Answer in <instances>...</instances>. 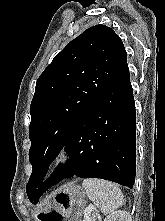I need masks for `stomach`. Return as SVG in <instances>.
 Here are the masks:
<instances>
[{
	"label": "stomach",
	"instance_id": "1",
	"mask_svg": "<svg viewBox=\"0 0 165 221\" xmlns=\"http://www.w3.org/2000/svg\"><path fill=\"white\" fill-rule=\"evenodd\" d=\"M86 193L75 182L61 187L54 196V200L46 208H39L36 217L39 221H80L85 208ZM67 217V218H49Z\"/></svg>",
	"mask_w": 165,
	"mask_h": 221
}]
</instances>
